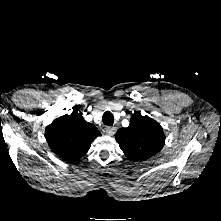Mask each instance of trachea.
I'll return each instance as SVG.
<instances>
[{"instance_id": "obj_1", "label": "trachea", "mask_w": 221, "mask_h": 221, "mask_svg": "<svg viewBox=\"0 0 221 221\" xmlns=\"http://www.w3.org/2000/svg\"><path fill=\"white\" fill-rule=\"evenodd\" d=\"M104 125L112 126L114 123L113 114L110 111H106L102 117Z\"/></svg>"}]
</instances>
